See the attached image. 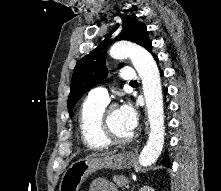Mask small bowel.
<instances>
[{"label":"small bowel","mask_w":221,"mask_h":191,"mask_svg":"<svg viewBox=\"0 0 221 191\" xmlns=\"http://www.w3.org/2000/svg\"><path fill=\"white\" fill-rule=\"evenodd\" d=\"M89 191H117V189L111 182L98 179L91 182Z\"/></svg>","instance_id":"1"}]
</instances>
